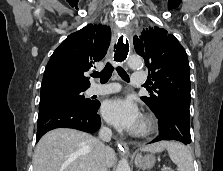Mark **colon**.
Wrapping results in <instances>:
<instances>
[{"mask_svg": "<svg viewBox=\"0 0 223 171\" xmlns=\"http://www.w3.org/2000/svg\"><path fill=\"white\" fill-rule=\"evenodd\" d=\"M164 171H172V170L168 168V169H165Z\"/></svg>", "mask_w": 223, "mask_h": 171, "instance_id": "obj_1", "label": "colon"}]
</instances>
